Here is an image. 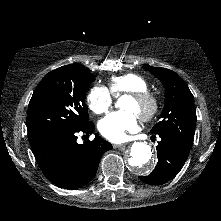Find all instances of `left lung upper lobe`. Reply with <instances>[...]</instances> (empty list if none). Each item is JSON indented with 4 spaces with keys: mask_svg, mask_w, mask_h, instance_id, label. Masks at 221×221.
<instances>
[{
    "mask_svg": "<svg viewBox=\"0 0 221 221\" xmlns=\"http://www.w3.org/2000/svg\"><path fill=\"white\" fill-rule=\"evenodd\" d=\"M143 68L158 77L165 87L161 121L151 129V133L171 137L190 151L197 120L191 91L185 81L172 70L148 65Z\"/></svg>",
    "mask_w": 221,
    "mask_h": 221,
    "instance_id": "1",
    "label": "left lung upper lobe"
}]
</instances>
